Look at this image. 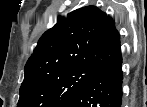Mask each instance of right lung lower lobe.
Masks as SVG:
<instances>
[{
    "mask_svg": "<svg viewBox=\"0 0 147 107\" xmlns=\"http://www.w3.org/2000/svg\"><path fill=\"white\" fill-rule=\"evenodd\" d=\"M122 55L116 54L101 66L88 84L62 107H121Z\"/></svg>",
    "mask_w": 147,
    "mask_h": 107,
    "instance_id": "1",
    "label": "right lung lower lobe"
}]
</instances>
